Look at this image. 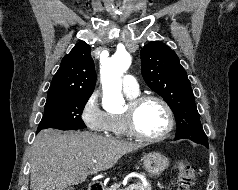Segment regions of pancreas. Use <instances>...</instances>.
<instances>
[{"label": "pancreas", "mask_w": 238, "mask_h": 190, "mask_svg": "<svg viewBox=\"0 0 238 190\" xmlns=\"http://www.w3.org/2000/svg\"><path fill=\"white\" fill-rule=\"evenodd\" d=\"M134 185H135L134 190H152L150 184L143 185L141 182L136 181ZM119 188H120V183H114L107 190H121Z\"/></svg>", "instance_id": "pancreas-1"}]
</instances>
